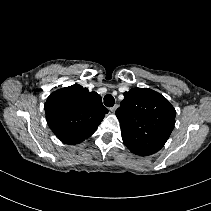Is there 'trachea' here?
I'll return each instance as SVG.
<instances>
[{
	"label": "trachea",
	"mask_w": 211,
	"mask_h": 211,
	"mask_svg": "<svg viewBox=\"0 0 211 211\" xmlns=\"http://www.w3.org/2000/svg\"><path fill=\"white\" fill-rule=\"evenodd\" d=\"M115 103L114 97L111 94H107L104 97V104L107 107H113Z\"/></svg>",
	"instance_id": "1"
}]
</instances>
